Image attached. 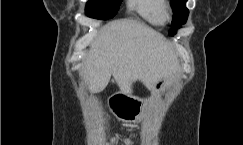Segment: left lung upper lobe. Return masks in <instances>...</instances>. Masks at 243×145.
Masks as SVG:
<instances>
[{
  "label": "left lung upper lobe",
  "mask_w": 243,
  "mask_h": 145,
  "mask_svg": "<svg viewBox=\"0 0 243 145\" xmlns=\"http://www.w3.org/2000/svg\"><path fill=\"white\" fill-rule=\"evenodd\" d=\"M187 0H171V7L174 13L172 26L174 27L169 35L173 36L176 33V30L180 28L181 24H184L187 21L188 9L185 6Z\"/></svg>",
  "instance_id": "obj_1"
}]
</instances>
